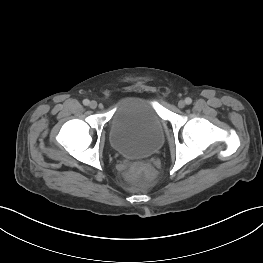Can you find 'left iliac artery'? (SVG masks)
<instances>
[{
    "mask_svg": "<svg viewBox=\"0 0 263 263\" xmlns=\"http://www.w3.org/2000/svg\"><path fill=\"white\" fill-rule=\"evenodd\" d=\"M185 103L186 104H191L192 103V99L191 98H189V97H187L186 99H185Z\"/></svg>",
    "mask_w": 263,
    "mask_h": 263,
    "instance_id": "1",
    "label": "left iliac artery"
}]
</instances>
